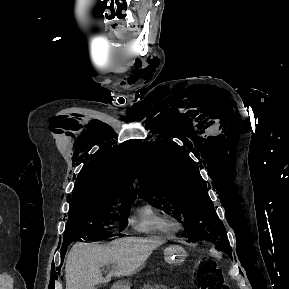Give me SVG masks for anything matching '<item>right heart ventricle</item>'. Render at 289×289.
I'll return each mask as SVG.
<instances>
[{"instance_id":"obj_1","label":"right heart ventricle","mask_w":289,"mask_h":289,"mask_svg":"<svg viewBox=\"0 0 289 289\" xmlns=\"http://www.w3.org/2000/svg\"><path fill=\"white\" fill-rule=\"evenodd\" d=\"M130 225L139 233L174 235L179 228L176 219L150 203L137 207L129 218Z\"/></svg>"}]
</instances>
